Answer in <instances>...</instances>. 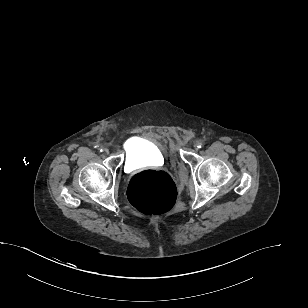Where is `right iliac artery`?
I'll return each instance as SVG.
<instances>
[{"mask_svg": "<svg viewBox=\"0 0 308 308\" xmlns=\"http://www.w3.org/2000/svg\"><path fill=\"white\" fill-rule=\"evenodd\" d=\"M100 152H102L104 149H103V147L102 146H99V145H97V146H95Z\"/></svg>", "mask_w": 308, "mask_h": 308, "instance_id": "obj_1", "label": "right iliac artery"}]
</instances>
